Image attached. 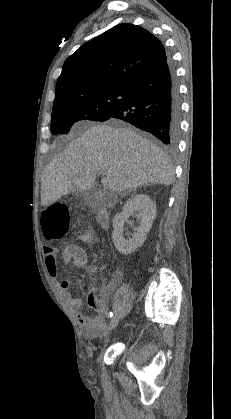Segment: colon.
Here are the masks:
<instances>
[{
    "instance_id": "obj_1",
    "label": "colon",
    "mask_w": 231,
    "mask_h": 419,
    "mask_svg": "<svg viewBox=\"0 0 231 419\" xmlns=\"http://www.w3.org/2000/svg\"><path fill=\"white\" fill-rule=\"evenodd\" d=\"M42 223L49 236L64 235L69 229V212L64 204H53L43 211Z\"/></svg>"
}]
</instances>
